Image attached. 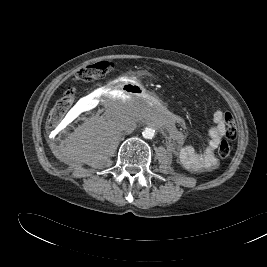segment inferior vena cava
I'll return each mask as SVG.
<instances>
[{
  "label": "inferior vena cava",
  "mask_w": 267,
  "mask_h": 267,
  "mask_svg": "<svg viewBox=\"0 0 267 267\" xmlns=\"http://www.w3.org/2000/svg\"><path fill=\"white\" fill-rule=\"evenodd\" d=\"M116 126L120 131L132 133L136 128V122L131 117L123 115L117 119Z\"/></svg>",
  "instance_id": "602c4592"
}]
</instances>
